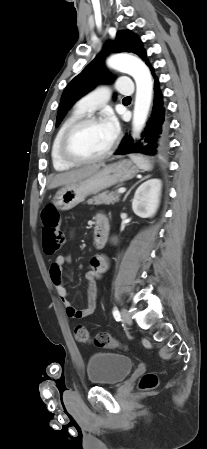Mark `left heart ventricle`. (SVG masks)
Wrapping results in <instances>:
<instances>
[{
    "label": "left heart ventricle",
    "instance_id": "obj_1",
    "mask_svg": "<svg viewBox=\"0 0 207 449\" xmlns=\"http://www.w3.org/2000/svg\"><path fill=\"white\" fill-rule=\"evenodd\" d=\"M112 138L103 123L85 125L77 129L69 140L70 151L79 157H94L103 153Z\"/></svg>",
    "mask_w": 207,
    "mask_h": 449
}]
</instances>
